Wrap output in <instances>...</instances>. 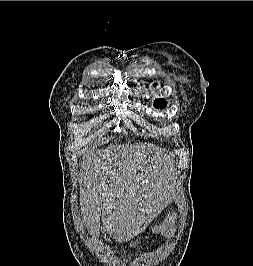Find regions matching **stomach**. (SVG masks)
I'll list each match as a JSON object with an SVG mask.
<instances>
[{"instance_id":"obj_1","label":"stomach","mask_w":253,"mask_h":266,"mask_svg":"<svg viewBox=\"0 0 253 266\" xmlns=\"http://www.w3.org/2000/svg\"><path fill=\"white\" fill-rule=\"evenodd\" d=\"M136 245H137V241H131L130 242V247H133V246L135 247Z\"/></svg>"}]
</instances>
